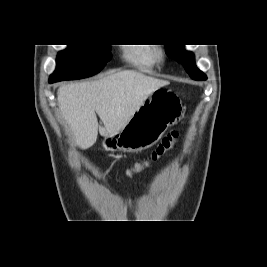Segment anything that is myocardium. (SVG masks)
Segmentation results:
<instances>
[{
    "label": "myocardium",
    "instance_id": "f54148a6",
    "mask_svg": "<svg viewBox=\"0 0 267 267\" xmlns=\"http://www.w3.org/2000/svg\"><path fill=\"white\" fill-rule=\"evenodd\" d=\"M163 58H164V54L163 53L160 52V53L157 54V59L158 60H162Z\"/></svg>",
    "mask_w": 267,
    "mask_h": 267
}]
</instances>
